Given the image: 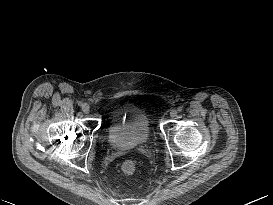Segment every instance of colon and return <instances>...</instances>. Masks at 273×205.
<instances>
[{
  "instance_id": "colon-1",
  "label": "colon",
  "mask_w": 273,
  "mask_h": 205,
  "mask_svg": "<svg viewBox=\"0 0 273 205\" xmlns=\"http://www.w3.org/2000/svg\"><path fill=\"white\" fill-rule=\"evenodd\" d=\"M122 170L126 175H132L136 171V165L133 161H126L122 165Z\"/></svg>"
}]
</instances>
